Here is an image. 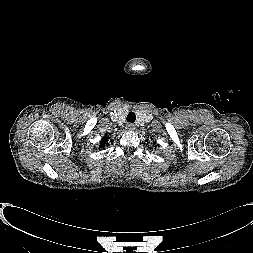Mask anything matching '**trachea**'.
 Returning a JSON list of instances; mask_svg holds the SVG:
<instances>
[{"label": "trachea", "instance_id": "1", "mask_svg": "<svg viewBox=\"0 0 253 253\" xmlns=\"http://www.w3.org/2000/svg\"><path fill=\"white\" fill-rule=\"evenodd\" d=\"M136 120V115L134 112H129V114L127 115V121L130 123H134Z\"/></svg>", "mask_w": 253, "mask_h": 253}]
</instances>
